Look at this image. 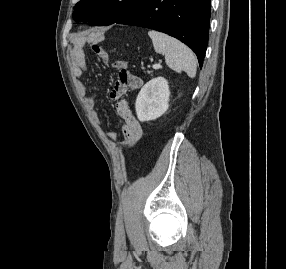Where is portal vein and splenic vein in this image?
Wrapping results in <instances>:
<instances>
[{
  "label": "portal vein and splenic vein",
  "instance_id": "1",
  "mask_svg": "<svg viewBox=\"0 0 286 269\" xmlns=\"http://www.w3.org/2000/svg\"><path fill=\"white\" fill-rule=\"evenodd\" d=\"M153 68H154V69H159V68H160V64L155 63V64L153 65Z\"/></svg>",
  "mask_w": 286,
  "mask_h": 269
}]
</instances>
